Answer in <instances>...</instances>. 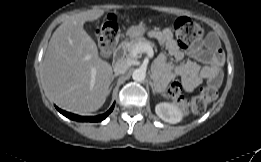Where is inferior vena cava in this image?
Segmentation results:
<instances>
[{"mask_svg": "<svg viewBox=\"0 0 261 162\" xmlns=\"http://www.w3.org/2000/svg\"><path fill=\"white\" fill-rule=\"evenodd\" d=\"M130 63L126 59H119L113 67L115 74H124L129 68Z\"/></svg>", "mask_w": 261, "mask_h": 162, "instance_id": "inferior-vena-cava-1", "label": "inferior vena cava"}]
</instances>
